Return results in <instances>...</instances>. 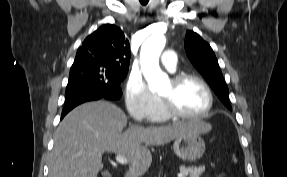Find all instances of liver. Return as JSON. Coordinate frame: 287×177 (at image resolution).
Segmentation results:
<instances>
[{"label":"liver","mask_w":287,"mask_h":177,"mask_svg":"<svg viewBox=\"0 0 287 177\" xmlns=\"http://www.w3.org/2000/svg\"><path fill=\"white\" fill-rule=\"evenodd\" d=\"M126 124L124 112L107 101L73 109L56 130L48 177H97L104 152L125 156L129 162L127 177H139L152 162L147 145H164L185 133H207L212 128L195 119L166 126L133 125L122 133Z\"/></svg>","instance_id":"6515ba94"}]
</instances>
